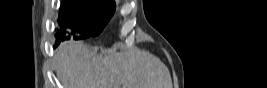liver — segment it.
I'll use <instances>...</instances> for the list:
<instances>
[{
    "label": "liver",
    "instance_id": "1",
    "mask_svg": "<svg viewBox=\"0 0 267 88\" xmlns=\"http://www.w3.org/2000/svg\"><path fill=\"white\" fill-rule=\"evenodd\" d=\"M54 61L63 88H172L164 63L139 49L95 56L84 43L69 40L59 45Z\"/></svg>",
    "mask_w": 267,
    "mask_h": 88
}]
</instances>
